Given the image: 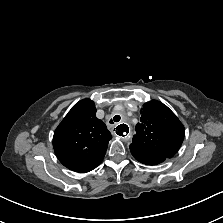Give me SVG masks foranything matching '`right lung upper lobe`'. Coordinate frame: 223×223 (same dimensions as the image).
Wrapping results in <instances>:
<instances>
[{
  "mask_svg": "<svg viewBox=\"0 0 223 223\" xmlns=\"http://www.w3.org/2000/svg\"><path fill=\"white\" fill-rule=\"evenodd\" d=\"M111 138L106 125L96 117L94 102L83 99L73 106L55 130L53 147L65 167L86 173L102 162Z\"/></svg>",
  "mask_w": 223,
  "mask_h": 223,
  "instance_id": "obj_1",
  "label": "right lung upper lobe"
}]
</instances>
